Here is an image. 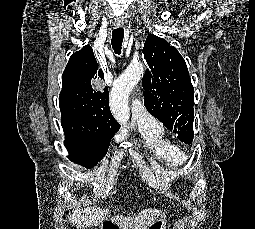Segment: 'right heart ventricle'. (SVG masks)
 <instances>
[{"label":"right heart ventricle","mask_w":255,"mask_h":229,"mask_svg":"<svg viewBox=\"0 0 255 229\" xmlns=\"http://www.w3.org/2000/svg\"><path fill=\"white\" fill-rule=\"evenodd\" d=\"M136 125L140 133L142 147L155 160L171 168H177L185 162V160H181V154L175 152V146L166 137L164 129L159 122L156 121L155 127L137 123Z\"/></svg>","instance_id":"e07e8e85"}]
</instances>
